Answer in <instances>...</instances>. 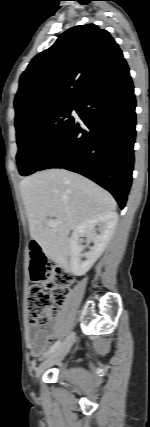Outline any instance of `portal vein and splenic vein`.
<instances>
[{
    "label": "portal vein and splenic vein",
    "mask_w": 150,
    "mask_h": 427,
    "mask_svg": "<svg viewBox=\"0 0 150 427\" xmlns=\"http://www.w3.org/2000/svg\"><path fill=\"white\" fill-rule=\"evenodd\" d=\"M60 223H61L60 221L50 219V220H48V221H47V223H46V224H47V226H49V227H56V226H58Z\"/></svg>",
    "instance_id": "18ae733b"
}]
</instances>
